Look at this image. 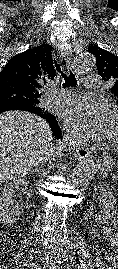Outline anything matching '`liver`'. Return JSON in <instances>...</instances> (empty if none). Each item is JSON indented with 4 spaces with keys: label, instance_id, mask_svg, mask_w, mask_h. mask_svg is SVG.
<instances>
[{
    "label": "liver",
    "instance_id": "liver-1",
    "mask_svg": "<svg viewBox=\"0 0 118 269\" xmlns=\"http://www.w3.org/2000/svg\"><path fill=\"white\" fill-rule=\"evenodd\" d=\"M52 153V132L45 120L23 111L0 114V182L24 177Z\"/></svg>",
    "mask_w": 118,
    "mask_h": 269
}]
</instances>
